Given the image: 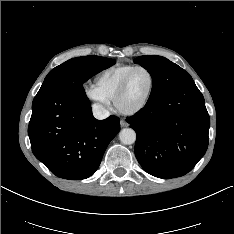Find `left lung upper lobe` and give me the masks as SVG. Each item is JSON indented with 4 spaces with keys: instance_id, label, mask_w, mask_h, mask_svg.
I'll return each mask as SVG.
<instances>
[{
    "instance_id": "obj_1",
    "label": "left lung upper lobe",
    "mask_w": 234,
    "mask_h": 234,
    "mask_svg": "<svg viewBox=\"0 0 234 234\" xmlns=\"http://www.w3.org/2000/svg\"><path fill=\"white\" fill-rule=\"evenodd\" d=\"M133 61L147 69L152 77L153 88L147 102H152L173 87L192 80L184 69L162 56H139Z\"/></svg>"
}]
</instances>
